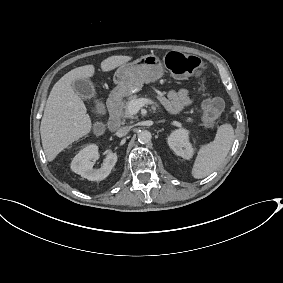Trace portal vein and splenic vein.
Listing matches in <instances>:
<instances>
[{
    "label": "portal vein and splenic vein",
    "mask_w": 283,
    "mask_h": 283,
    "mask_svg": "<svg viewBox=\"0 0 283 283\" xmlns=\"http://www.w3.org/2000/svg\"><path fill=\"white\" fill-rule=\"evenodd\" d=\"M145 105H151L153 108L158 107V104L153 99L139 98L135 101L130 102V104L128 105V107H127L128 117H133ZM177 123H179V122H177Z\"/></svg>",
    "instance_id": "obj_1"
}]
</instances>
